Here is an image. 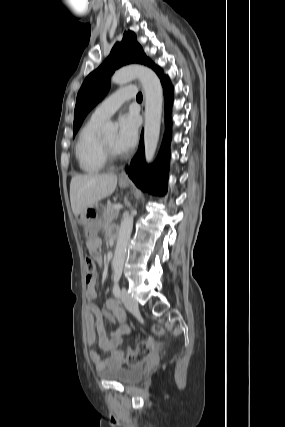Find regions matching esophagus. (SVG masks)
<instances>
[{
    "mask_svg": "<svg viewBox=\"0 0 285 427\" xmlns=\"http://www.w3.org/2000/svg\"><path fill=\"white\" fill-rule=\"evenodd\" d=\"M140 86V85H139ZM119 179L120 180H123V181H127V180H129V178H128V176H127V174L123 171V172H121V174L119 175Z\"/></svg>",
    "mask_w": 285,
    "mask_h": 427,
    "instance_id": "esophagus-1",
    "label": "esophagus"
}]
</instances>
